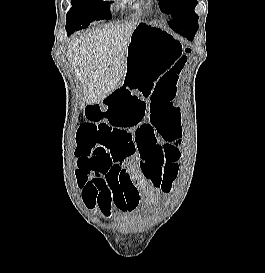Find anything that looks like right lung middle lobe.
Returning a JSON list of instances; mask_svg holds the SVG:
<instances>
[{
  "label": "right lung middle lobe",
  "mask_w": 265,
  "mask_h": 273,
  "mask_svg": "<svg viewBox=\"0 0 265 273\" xmlns=\"http://www.w3.org/2000/svg\"><path fill=\"white\" fill-rule=\"evenodd\" d=\"M72 8L67 13V35L88 25L96 20L110 19V3L101 0H71Z\"/></svg>",
  "instance_id": "dd1d6c3e"
}]
</instances>
